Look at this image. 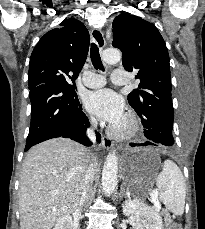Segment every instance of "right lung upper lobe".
I'll list each match as a JSON object with an SVG mask.
<instances>
[{
  "mask_svg": "<svg viewBox=\"0 0 205 229\" xmlns=\"http://www.w3.org/2000/svg\"><path fill=\"white\" fill-rule=\"evenodd\" d=\"M47 32L35 46L29 63V89L67 77L75 82L85 63L89 32L76 19H65Z\"/></svg>",
  "mask_w": 205,
  "mask_h": 229,
  "instance_id": "obj_1",
  "label": "right lung upper lobe"
}]
</instances>
